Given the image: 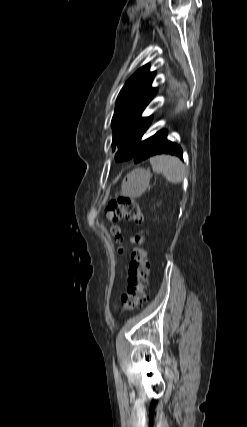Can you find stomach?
Segmentation results:
<instances>
[{"mask_svg":"<svg viewBox=\"0 0 247 427\" xmlns=\"http://www.w3.org/2000/svg\"><path fill=\"white\" fill-rule=\"evenodd\" d=\"M150 178V172L142 168L129 172L123 179L121 194L132 199L139 198L146 191Z\"/></svg>","mask_w":247,"mask_h":427,"instance_id":"1","label":"stomach"}]
</instances>
